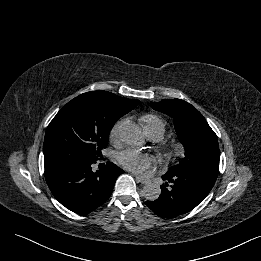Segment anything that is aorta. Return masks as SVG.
Returning <instances> with one entry per match:
<instances>
[{
  "label": "aorta",
  "instance_id": "762f6f07",
  "mask_svg": "<svg viewBox=\"0 0 261 261\" xmlns=\"http://www.w3.org/2000/svg\"><path fill=\"white\" fill-rule=\"evenodd\" d=\"M122 140L133 148H140L143 146L145 140L140 127L133 123L124 125L121 132ZM143 196L150 201L158 199L161 194V188L159 185L154 183H147L143 187Z\"/></svg>",
  "mask_w": 261,
  "mask_h": 261
}]
</instances>
